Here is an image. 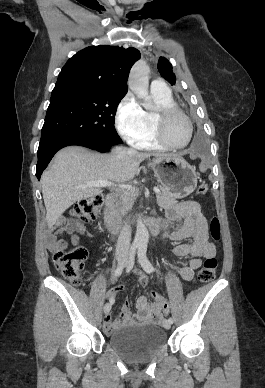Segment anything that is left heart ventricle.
Returning <instances> with one entry per match:
<instances>
[{
    "instance_id": "obj_1",
    "label": "left heart ventricle",
    "mask_w": 265,
    "mask_h": 388,
    "mask_svg": "<svg viewBox=\"0 0 265 388\" xmlns=\"http://www.w3.org/2000/svg\"><path fill=\"white\" fill-rule=\"evenodd\" d=\"M162 130L166 140L172 145H181L186 140L187 132L184 119L176 112L164 117Z\"/></svg>"
}]
</instances>
